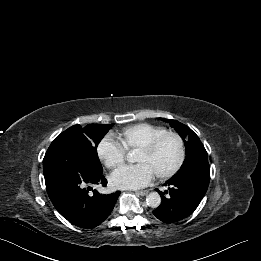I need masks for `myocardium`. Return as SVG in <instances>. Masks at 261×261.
Instances as JSON below:
<instances>
[{
  "instance_id": "f54148a6",
  "label": "myocardium",
  "mask_w": 261,
  "mask_h": 261,
  "mask_svg": "<svg viewBox=\"0 0 261 261\" xmlns=\"http://www.w3.org/2000/svg\"><path fill=\"white\" fill-rule=\"evenodd\" d=\"M166 137H174L177 140L179 153L176 162L170 169L160 174H157V177L160 179L170 178L175 173H177L178 170L182 167L185 160V144L182 137L174 131H165L138 149V151L143 153H151L156 150L160 142Z\"/></svg>"
}]
</instances>
